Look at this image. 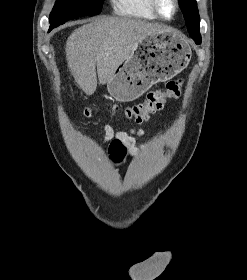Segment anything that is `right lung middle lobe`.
<instances>
[{
  "mask_svg": "<svg viewBox=\"0 0 247 280\" xmlns=\"http://www.w3.org/2000/svg\"><path fill=\"white\" fill-rule=\"evenodd\" d=\"M103 0H57L50 14V30L79 16L101 13Z\"/></svg>",
  "mask_w": 247,
  "mask_h": 280,
  "instance_id": "right-lung-middle-lobe-1",
  "label": "right lung middle lobe"
}]
</instances>
